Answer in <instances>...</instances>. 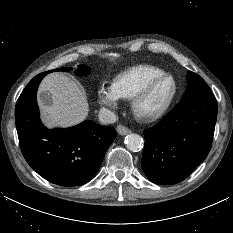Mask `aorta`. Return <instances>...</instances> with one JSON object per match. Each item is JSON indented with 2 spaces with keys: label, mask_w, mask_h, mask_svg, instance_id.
<instances>
[{
  "label": "aorta",
  "mask_w": 233,
  "mask_h": 233,
  "mask_svg": "<svg viewBox=\"0 0 233 233\" xmlns=\"http://www.w3.org/2000/svg\"><path fill=\"white\" fill-rule=\"evenodd\" d=\"M126 147L133 152L141 150L143 147V138L135 133H131L125 137Z\"/></svg>",
  "instance_id": "1"
}]
</instances>
